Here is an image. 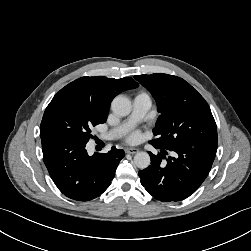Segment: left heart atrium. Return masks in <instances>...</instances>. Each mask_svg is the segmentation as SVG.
I'll list each match as a JSON object with an SVG mask.
<instances>
[{
    "mask_svg": "<svg viewBox=\"0 0 251 251\" xmlns=\"http://www.w3.org/2000/svg\"><path fill=\"white\" fill-rule=\"evenodd\" d=\"M138 139H139V133L138 132H132L127 137V141H129V142H136Z\"/></svg>",
    "mask_w": 251,
    "mask_h": 251,
    "instance_id": "obj_1",
    "label": "left heart atrium"
}]
</instances>
